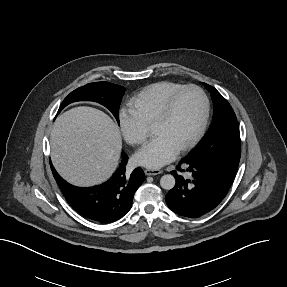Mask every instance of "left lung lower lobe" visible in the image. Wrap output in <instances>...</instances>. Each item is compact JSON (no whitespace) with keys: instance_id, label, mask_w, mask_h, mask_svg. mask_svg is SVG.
I'll return each instance as SVG.
<instances>
[{"instance_id":"0a47b994","label":"left lung lower lobe","mask_w":287,"mask_h":287,"mask_svg":"<svg viewBox=\"0 0 287 287\" xmlns=\"http://www.w3.org/2000/svg\"><path fill=\"white\" fill-rule=\"evenodd\" d=\"M238 164L239 161L225 159H182L177 171H171L176 184L165 196L168 207L191 218L209 212L226 196ZM182 171L189 172L190 178H184L179 173Z\"/></svg>"}]
</instances>
